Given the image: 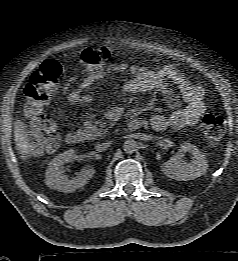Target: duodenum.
Instances as JSON below:
<instances>
[{
  "label": "duodenum",
  "instance_id": "1",
  "mask_svg": "<svg viewBox=\"0 0 238 261\" xmlns=\"http://www.w3.org/2000/svg\"><path fill=\"white\" fill-rule=\"evenodd\" d=\"M146 122L141 118H133L128 122V129L130 131H136L142 127H144ZM85 140V136L80 131H71L66 136L67 143L71 145H79L82 144Z\"/></svg>",
  "mask_w": 238,
  "mask_h": 261
}]
</instances>
